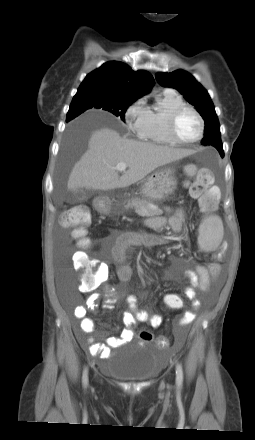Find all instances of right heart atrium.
Here are the masks:
<instances>
[{
  "label": "right heart atrium",
  "mask_w": 255,
  "mask_h": 440,
  "mask_svg": "<svg viewBox=\"0 0 255 440\" xmlns=\"http://www.w3.org/2000/svg\"><path fill=\"white\" fill-rule=\"evenodd\" d=\"M148 108L143 98L134 101L125 111V121L129 129L140 136L145 128Z\"/></svg>",
  "instance_id": "1"
}]
</instances>
